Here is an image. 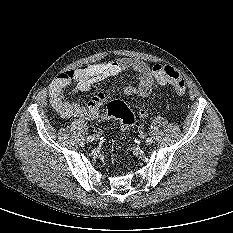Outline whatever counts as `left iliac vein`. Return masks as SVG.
<instances>
[{
	"mask_svg": "<svg viewBox=\"0 0 233 233\" xmlns=\"http://www.w3.org/2000/svg\"><path fill=\"white\" fill-rule=\"evenodd\" d=\"M139 139L140 140H145L146 139V133L145 132H140L139 133Z\"/></svg>",
	"mask_w": 233,
	"mask_h": 233,
	"instance_id": "1",
	"label": "left iliac vein"
}]
</instances>
